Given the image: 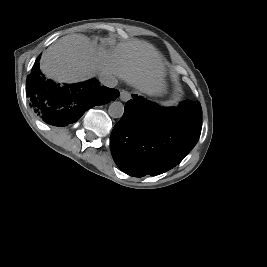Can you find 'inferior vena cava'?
<instances>
[{
  "label": "inferior vena cava",
  "instance_id": "obj_1",
  "mask_svg": "<svg viewBox=\"0 0 267 267\" xmlns=\"http://www.w3.org/2000/svg\"><path fill=\"white\" fill-rule=\"evenodd\" d=\"M99 81L101 82L102 85L109 88L115 87L118 83L115 76L105 72L99 74Z\"/></svg>",
  "mask_w": 267,
  "mask_h": 267
}]
</instances>
